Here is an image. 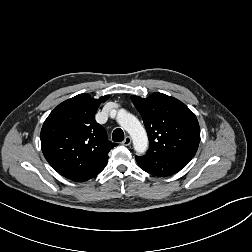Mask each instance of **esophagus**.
<instances>
[{
    "mask_svg": "<svg viewBox=\"0 0 252 252\" xmlns=\"http://www.w3.org/2000/svg\"><path fill=\"white\" fill-rule=\"evenodd\" d=\"M131 142H132L131 137H130V136H127V137L125 138V140L122 142V144L125 145V146H129V145L131 144Z\"/></svg>",
    "mask_w": 252,
    "mask_h": 252,
    "instance_id": "34e87169",
    "label": "esophagus"
}]
</instances>
